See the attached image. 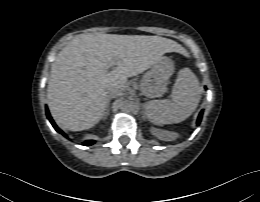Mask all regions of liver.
Masks as SVG:
<instances>
[{"label":"liver","mask_w":260,"mask_h":202,"mask_svg":"<svg viewBox=\"0 0 260 202\" xmlns=\"http://www.w3.org/2000/svg\"><path fill=\"white\" fill-rule=\"evenodd\" d=\"M168 52H184L177 42L144 35L81 34L70 41L51 66L48 106L63 128L81 131L105 114L107 91L123 88L127 78L150 68ZM112 65H116L110 70Z\"/></svg>","instance_id":"1"}]
</instances>
